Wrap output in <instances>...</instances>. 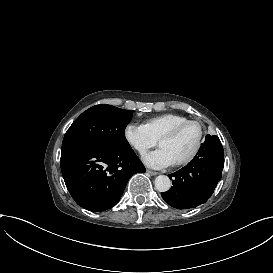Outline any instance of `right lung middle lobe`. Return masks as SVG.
<instances>
[{
  "label": "right lung middle lobe",
  "instance_id": "dd1d6c3e",
  "mask_svg": "<svg viewBox=\"0 0 273 273\" xmlns=\"http://www.w3.org/2000/svg\"><path fill=\"white\" fill-rule=\"evenodd\" d=\"M132 113L133 111L105 104L89 108L67 130L62 149L79 144L123 151L131 149L125 139V128Z\"/></svg>",
  "mask_w": 273,
  "mask_h": 273
}]
</instances>
